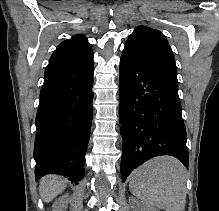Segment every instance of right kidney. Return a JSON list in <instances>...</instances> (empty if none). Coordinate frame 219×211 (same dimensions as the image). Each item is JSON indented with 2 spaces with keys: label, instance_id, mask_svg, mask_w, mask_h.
Instances as JSON below:
<instances>
[{
  "label": "right kidney",
  "instance_id": "1",
  "mask_svg": "<svg viewBox=\"0 0 219 211\" xmlns=\"http://www.w3.org/2000/svg\"><path fill=\"white\" fill-rule=\"evenodd\" d=\"M68 199L66 195H61L52 205V211H66Z\"/></svg>",
  "mask_w": 219,
  "mask_h": 211
}]
</instances>
